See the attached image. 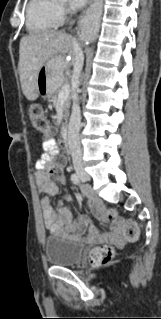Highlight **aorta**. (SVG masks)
I'll return each instance as SVG.
<instances>
[{
	"label": "aorta",
	"instance_id": "aorta-1",
	"mask_svg": "<svg viewBox=\"0 0 161 319\" xmlns=\"http://www.w3.org/2000/svg\"><path fill=\"white\" fill-rule=\"evenodd\" d=\"M93 29V31L95 32L97 30V24H94L93 26L91 25L90 23V16H88L86 19H85V29L86 30H89V29Z\"/></svg>",
	"mask_w": 161,
	"mask_h": 319
}]
</instances>
